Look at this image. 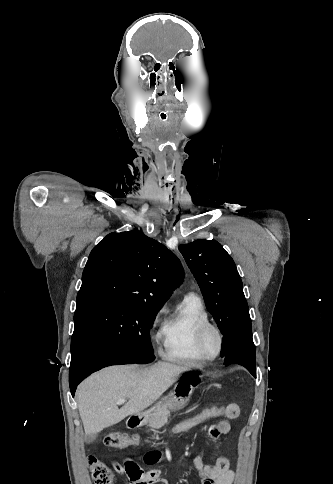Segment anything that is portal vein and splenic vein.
Wrapping results in <instances>:
<instances>
[{
    "mask_svg": "<svg viewBox=\"0 0 333 484\" xmlns=\"http://www.w3.org/2000/svg\"><path fill=\"white\" fill-rule=\"evenodd\" d=\"M125 401H126L125 398H120V399L117 400V404L122 405V404L125 403Z\"/></svg>",
    "mask_w": 333,
    "mask_h": 484,
    "instance_id": "18ae733b",
    "label": "portal vein and splenic vein"
}]
</instances>
